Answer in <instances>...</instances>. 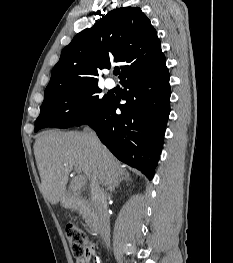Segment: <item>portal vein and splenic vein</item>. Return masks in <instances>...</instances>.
Masks as SVG:
<instances>
[{"label":"portal vein and splenic vein","mask_w":233,"mask_h":263,"mask_svg":"<svg viewBox=\"0 0 233 263\" xmlns=\"http://www.w3.org/2000/svg\"><path fill=\"white\" fill-rule=\"evenodd\" d=\"M75 170H76L78 173H80V171H79L77 168H75ZM77 181L79 182V185H83V184H85L86 179H85L84 176H82L81 174H79V176L77 177Z\"/></svg>","instance_id":"portal-vein-and-splenic-vein-1"}]
</instances>
